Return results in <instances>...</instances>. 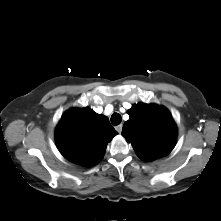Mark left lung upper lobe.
<instances>
[{
    "mask_svg": "<svg viewBox=\"0 0 221 221\" xmlns=\"http://www.w3.org/2000/svg\"><path fill=\"white\" fill-rule=\"evenodd\" d=\"M129 120L122 135L144 161L169 154L175 146L177 128L170 112L163 106L139 103L128 110Z\"/></svg>",
    "mask_w": 221,
    "mask_h": 221,
    "instance_id": "1",
    "label": "left lung upper lobe"
}]
</instances>
